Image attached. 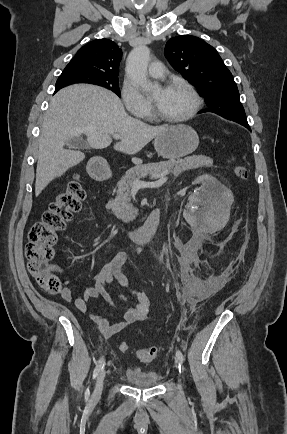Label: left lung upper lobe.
Masks as SVG:
<instances>
[{"mask_svg":"<svg viewBox=\"0 0 287 434\" xmlns=\"http://www.w3.org/2000/svg\"><path fill=\"white\" fill-rule=\"evenodd\" d=\"M165 56L207 101L205 112L245 114L231 72L217 51L202 39L180 35L169 39Z\"/></svg>","mask_w":287,"mask_h":434,"instance_id":"5c2ea615","label":"left lung upper lobe"}]
</instances>
